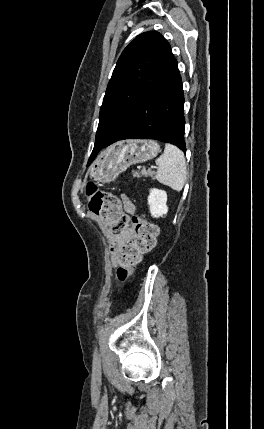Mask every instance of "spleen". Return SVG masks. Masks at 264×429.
<instances>
[{
	"label": "spleen",
	"mask_w": 264,
	"mask_h": 429,
	"mask_svg": "<svg viewBox=\"0 0 264 429\" xmlns=\"http://www.w3.org/2000/svg\"><path fill=\"white\" fill-rule=\"evenodd\" d=\"M156 179L180 192L186 181V162L183 152L172 144H166L163 154L156 159Z\"/></svg>",
	"instance_id": "spleen-1"
}]
</instances>
